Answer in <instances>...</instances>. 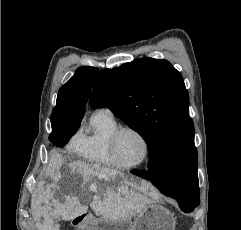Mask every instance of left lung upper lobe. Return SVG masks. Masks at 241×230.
Wrapping results in <instances>:
<instances>
[{
  "instance_id": "left-lung-upper-lobe-1",
  "label": "left lung upper lobe",
  "mask_w": 241,
  "mask_h": 230,
  "mask_svg": "<svg viewBox=\"0 0 241 230\" xmlns=\"http://www.w3.org/2000/svg\"><path fill=\"white\" fill-rule=\"evenodd\" d=\"M93 108L107 107L137 131L149 158L168 162L167 190L184 193L198 179L194 125L182 75L164 59L141 58L104 69L94 80Z\"/></svg>"
}]
</instances>
